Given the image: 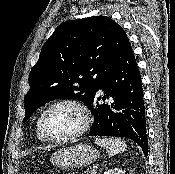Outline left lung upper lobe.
Listing matches in <instances>:
<instances>
[{
    "label": "left lung upper lobe",
    "mask_w": 175,
    "mask_h": 174,
    "mask_svg": "<svg viewBox=\"0 0 175 174\" xmlns=\"http://www.w3.org/2000/svg\"><path fill=\"white\" fill-rule=\"evenodd\" d=\"M129 44L125 31L107 16L59 25L30 72L23 122L54 99H79L88 105L98 83Z\"/></svg>",
    "instance_id": "1"
}]
</instances>
